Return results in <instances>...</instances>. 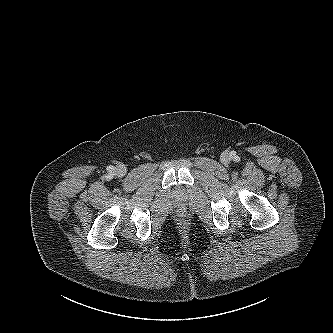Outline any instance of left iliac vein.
<instances>
[{"instance_id": "4c4485c4", "label": "left iliac vein", "mask_w": 333, "mask_h": 333, "mask_svg": "<svg viewBox=\"0 0 333 333\" xmlns=\"http://www.w3.org/2000/svg\"><path fill=\"white\" fill-rule=\"evenodd\" d=\"M229 160H230V158H229V156L227 154L222 155L221 162L223 164H227L229 162Z\"/></svg>"}]
</instances>
